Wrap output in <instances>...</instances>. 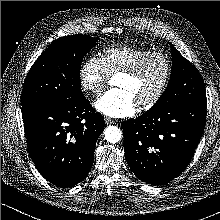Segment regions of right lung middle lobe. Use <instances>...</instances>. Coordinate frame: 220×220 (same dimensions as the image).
<instances>
[{
    "instance_id": "1",
    "label": "right lung middle lobe",
    "mask_w": 220,
    "mask_h": 220,
    "mask_svg": "<svg viewBox=\"0 0 220 220\" xmlns=\"http://www.w3.org/2000/svg\"><path fill=\"white\" fill-rule=\"evenodd\" d=\"M96 42L86 35L54 40L26 76L21 96L22 107L50 102L68 104L83 97L81 62Z\"/></svg>"
}]
</instances>
